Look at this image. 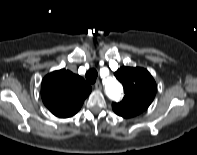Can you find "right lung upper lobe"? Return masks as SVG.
I'll use <instances>...</instances> for the list:
<instances>
[{"instance_id":"1","label":"right lung upper lobe","mask_w":197,"mask_h":155,"mask_svg":"<svg viewBox=\"0 0 197 155\" xmlns=\"http://www.w3.org/2000/svg\"><path fill=\"white\" fill-rule=\"evenodd\" d=\"M90 92L91 86L82 77L65 69L46 75L41 84L43 103L59 118L75 115Z\"/></svg>"}]
</instances>
